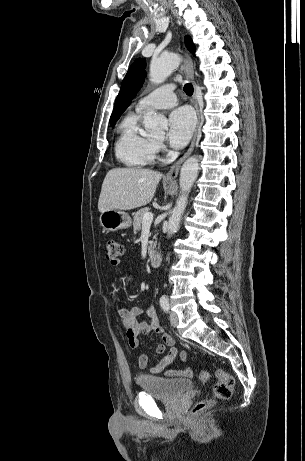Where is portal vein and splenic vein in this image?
Listing matches in <instances>:
<instances>
[{
  "label": "portal vein and splenic vein",
  "mask_w": 305,
  "mask_h": 461,
  "mask_svg": "<svg viewBox=\"0 0 305 461\" xmlns=\"http://www.w3.org/2000/svg\"><path fill=\"white\" fill-rule=\"evenodd\" d=\"M153 221V214L151 212H147L143 216V224H150Z\"/></svg>",
  "instance_id": "portal-vein-and-splenic-vein-1"
}]
</instances>
